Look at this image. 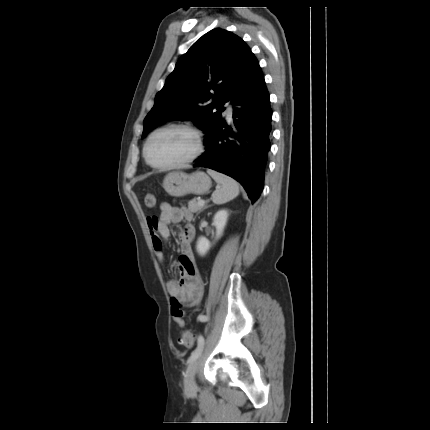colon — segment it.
I'll return each instance as SVG.
<instances>
[{"label": "colon", "instance_id": "5ec220e1", "mask_svg": "<svg viewBox=\"0 0 430 430\" xmlns=\"http://www.w3.org/2000/svg\"><path fill=\"white\" fill-rule=\"evenodd\" d=\"M145 204L149 208H153L156 204L155 195L152 193H147L145 195ZM198 334L185 330L182 332L180 343L186 348H192L197 340Z\"/></svg>", "mask_w": 430, "mask_h": 430}]
</instances>
